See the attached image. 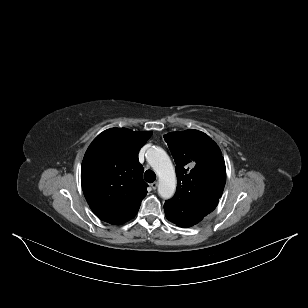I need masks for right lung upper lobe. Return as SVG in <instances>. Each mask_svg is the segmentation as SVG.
Wrapping results in <instances>:
<instances>
[{
  "label": "right lung upper lobe",
  "mask_w": 308,
  "mask_h": 308,
  "mask_svg": "<svg viewBox=\"0 0 308 308\" xmlns=\"http://www.w3.org/2000/svg\"><path fill=\"white\" fill-rule=\"evenodd\" d=\"M151 132L111 128L87 149L81 167L84 196L95 215L110 224L133 218L147 194L138 152Z\"/></svg>",
  "instance_id": "cb5924a9"
}]
</instances>
